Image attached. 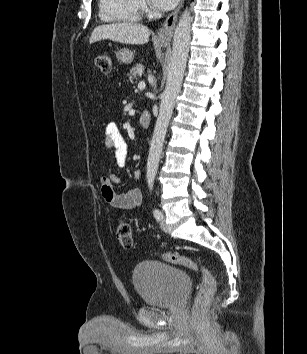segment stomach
<instances>
[{
	"instance_id": "obj_1",
	"label": "stomach",
	"mask_w": 307,
	"mask_h": 354,
	"mask_svg": "<svg viewBox=\"0 0 307 354\" xmlns=\"http://www.w3.org/2000/svg\"><path fill=\"white\" fill-rule=\"evenodd\" d=\"M155 42L158 46L165 47L168 44V39H156ZM116 56L118 60L124 64L131 63L134 58L133 52L126 48L120 49Z\"/></svg>"
}]
</instances>
